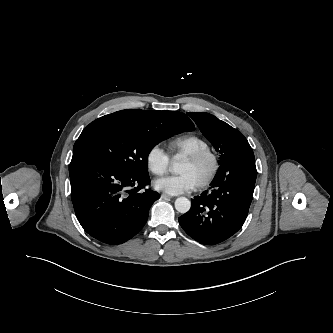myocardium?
I'll return each instance as SVG.
<instances>
[{"label":"myocardium","instance_id":"1","mask_svg":"<svg viewBox=\"0 0 333 333\" xmlns=\"http://www.w3.org/2000/svg\"><path fill=\"white\" fill-rule=\"evenodd\" d=\"M186 161L198 164L207 161L209 163V170L205 178L197 184V188L203 189L211 184L216 177L220 163L217 155L211 150H202L185 157Z\"/></svg>","mask_w":333,"mask_h":333}]
</instances>
